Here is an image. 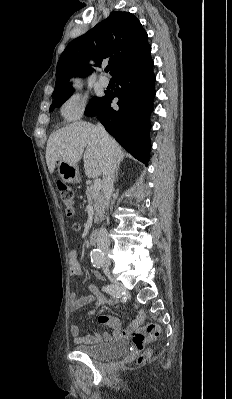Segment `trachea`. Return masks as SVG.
Wrapping results in <instances>:
<instances>
[{
	"instance_id": "3493384b",
	"label": "trachea",
	"mask_w": 232,
	"mask_h": 399,
	"mask_svg": "<svg viewBox=\"0 0 232 399\" xmlns=\"http://www.w3.org/2000/svg\"><path fill=\"white\" fill-rule=\"evenodd\" d=\"M111 67H106L105 72H109Z\"/></svg>"
}]
</instances>
